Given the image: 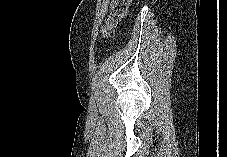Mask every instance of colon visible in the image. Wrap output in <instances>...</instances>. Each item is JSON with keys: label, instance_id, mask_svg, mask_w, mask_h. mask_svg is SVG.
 <instances>
[{"label": "colon", "instance_id": "1", "mask_svg": "<svg viewBox=\"0 0 227 157\" xmlns=\"http://www.w3.org/2000/svg\"><path fill=\"white\" fill-rule=\"evenodd\" d=\"M132 0H113L111 12L101 29L103 38H110L114 35L115 28L126 14Z\"/></svg>", "mask_w": 227, "mask_h": 157}]
</instances>
